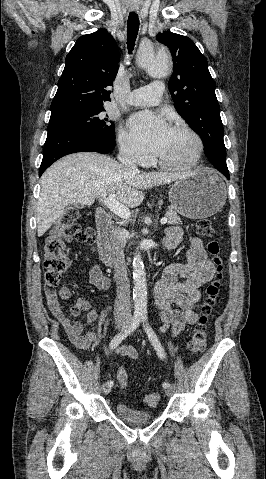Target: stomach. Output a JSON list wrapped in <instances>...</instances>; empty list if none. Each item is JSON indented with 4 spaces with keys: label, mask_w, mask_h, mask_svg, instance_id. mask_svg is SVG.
Segmentation results:
<instances>
[{
    "label": "stomach",
    "mask_w": 266,
    "mask_h": 479,
    "mask_svg": "<svg viewBox=\"0 0 266 479\" xmlns=\"http://www.w3.org/2000/svg\"><path fill=\"white\" fill-rule=\"evenodd\" d=\"M173 208L190 219L217 213L226 200V186L209 168H201L178 179L169 192Z\"/></svg>",
    "instance_id": "1"
}]
</instances>
